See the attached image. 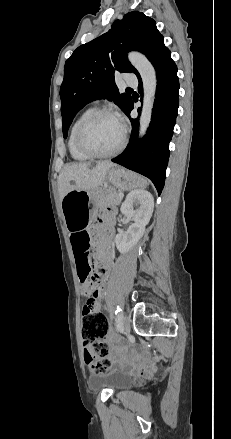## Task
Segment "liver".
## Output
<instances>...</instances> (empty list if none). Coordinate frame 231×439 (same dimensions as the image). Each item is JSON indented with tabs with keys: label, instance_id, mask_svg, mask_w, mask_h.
<instances>
[{
	"label": "liver",
	"instance_id": "6515ba94",
	"mask_svg": "<svg viewBox=\"0 0 231 439\" xmlns=\"http://www.w3.org/2000/svg\"><path fill=\"white\" fill-rule=\"evenodd\" d=\"M114 164L109 161H101L91 167L89 163L68 164L58 178V191L60 200L71 190L91 191L101 186L105 176ZM73 182V184H71Z\"/></svg>",
	"mask_w": 231,
	"mask_h": 439
}]
</instances>
